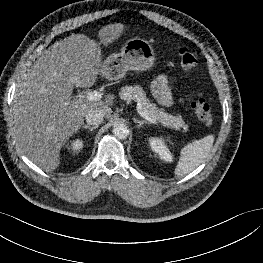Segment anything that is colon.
<instances>
[{
  "instance_id": "5ec220e1",
  "label": "colon",
  "mask_w": 263,
  "mask_h": 263,
  "mask_svg": "<svg viewBox=\"0 0 263 263\" xmlns=\"http://www.w3.org/2000/svg\"><path fill=\"white\" fill-rule=\"evenodd\" d=\"M181 66L190 73L197 71L198 60L196 54L187 47H182L179 50ZM189 102L195 116L202 123L209 125L213 122L214 112L212 107L207 103L202 92L194 91Z\"/></svg>"
}]
</instances>
